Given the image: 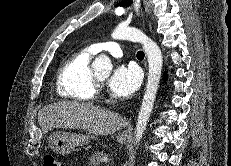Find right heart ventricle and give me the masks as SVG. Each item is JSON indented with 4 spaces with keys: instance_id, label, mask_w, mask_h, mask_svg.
I'll return each mask as SVG.
<instances>
[{
    "instance_id": "e07e8e85",
    "label": "right heart ventricle",
    "mask_w": 231,
    "mask_h": 166,
    "mask_svg": "<svg viewBox=\"0 0 231 166\" xmlns=\"http://www.w3.org/2000/svg\"><path fill=\"white\" fill-rule=\"evenodd\" d=\"M94 55L91 47H86L65 60L56 79V90L60 97L75 101L94 99L96 86L90 66Z\"/></svg>"
}]
</instances>
